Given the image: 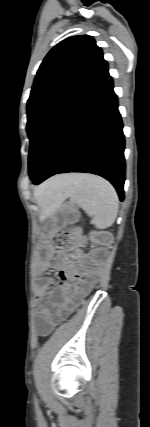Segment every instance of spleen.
Wrapping results in <instances>:
<instances>
[{
  "label": "spleen",
  "instance_id": "obj_1",
  "mask_svg": "<svg viewBox=\"0 0 150 427\" xmlns=\"http://www.w3.org/2000/svg\"><path fill=\"white\" fill-rule=\"evenodd\" d=\"M54 204L70 197L92 218L97 229H106L116 220L119 199L114 187L104 178L91 174H71L46 192Z\"/></svg>",
  "mask_w": 150,
  "mask_h": 427
}]
</instances>
